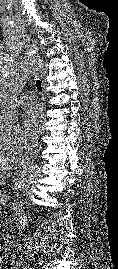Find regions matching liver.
Masks as SVG:
<instances>
[{"instance_id": "obj_1", "label": "liver", "mask_w": 118, "mask_h": 269, "mask_svg": "<svg viewBox=\"0 0 118 269\" xmlns=\"http://www.w3.org/2000/svg\"><path fill=\"white\" fill-rule=\"evenodd\" d=\"M18 163V159L10 156H0V170H10Z\"/></svg>"}]
</instances>
